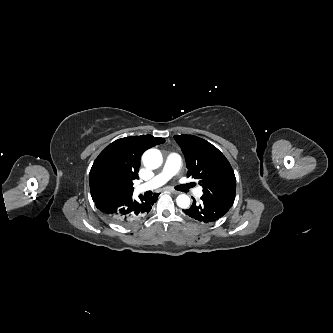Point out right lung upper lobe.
Instances as JSON below:
<instances>
[{
	"label": "right lung upper lobe",
	"instance_id": "obj_1",
	"mask_svg": "<svg viewBox=\"0 0 333 333\" xmlns=\"http://www.w3.org/2000/svg\"><path fill=\"white\" fill-rule=\"evenodd\" d=\"M152 135L118 139L96 158L89 174L92 199L101 194L133 193V180L138 178L140 157L147 149L163 143Z\"/></svg>",
	"mask_w": 333,
	"mask_h": 333
}]
</instances>
